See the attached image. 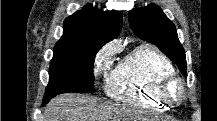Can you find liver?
<instances>
[{
    "mask_svg": "<svg viewBox=\"0 0 217 121\" xmlns=\"http://www.w3.org/2000/svg\"><path fill=\"white\" fill-rule=\"evenodd\" d=\"M45 121H136L141 119L133 109L106 105L93 97L67 93L52 99L44 112Z\"/></svg>",
    "mask_w": 217,
    "mask_h": 121,
    "instance_id": "6515ba94",
    "label": "liver"
}]
</instances>
